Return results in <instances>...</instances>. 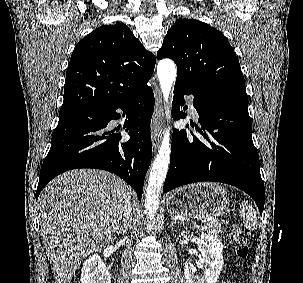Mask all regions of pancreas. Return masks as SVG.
<instances>
[{"label":"pancreas","mask_w":303,"mask_h":283,"mask_svg":"<svg viewBox=\"0 0 303 283\" xmlns=\"http://www.w3.org/2000/svg\"><path fill=\"white\" fill-rule=\"evenodd\" d=\"M194 228L201 229L203 231H206L210 234L218 236L220 233L223 232V228L220 226L218 222L214 223H208L207 225L199 226L198 224L194 223Z\"/></svg>","instance_id":"pancreas-1"}]
</instances>
